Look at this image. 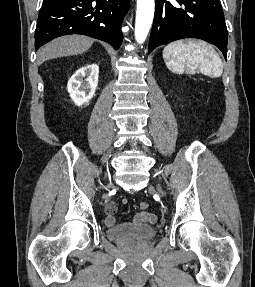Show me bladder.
Segmentation results:
<instances>
[{
  "instance_id": "1",
  "label": "bladder",
  "mask_w": 255,
  "mask_h": 287,
  "mask_svg": "<svg viewBox=\"0 0 255 287\" xmlns=\"http://www.w3.org/2000/svg\"><path fill=\"white\" fill-rule=\"evenodd\" d=\"M157 234V229L146 223H123L106 229V235L113 241H148Z\"/></svg>"
}]
</instances>
